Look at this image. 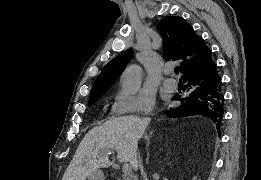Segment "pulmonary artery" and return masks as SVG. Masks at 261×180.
Masks as SVG:
<instances>
[{"instance_id": "pulmonary-artery-1", "label": "pulmonary artery", "mask_w": 261, "mask_h": 180, "mask_svg": "<svg viewBox=\"0 0 261 180\" xmlns=\"http://www.w3.org/2000/svg\"><path fill=\"white\" fill-rule=\"evenodd\" d=\"M164 73L165 75L169 76V78H167L165 81H164V86L167 88V89H170V90H175L178 86V83L177 81L173 78V69H164Z\"/></svg>"}]
</instances>
